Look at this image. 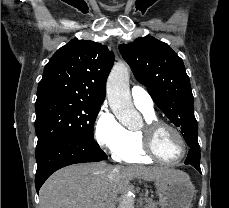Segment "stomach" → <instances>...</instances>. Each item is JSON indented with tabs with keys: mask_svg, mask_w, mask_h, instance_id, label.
I'll list each match as a JSON object with an SVG mask.
<instances>
[{
	"mask_svg": "<svg viewBox=\"0 0 229 208\" xmlns=\"http://www.w3.org/2000/svg\"><path fill=\"white\" fill-rule=\"evenodd\" d=\"M161 208H190L195 188L189 176L154 180Z\"/></svg>",
	"mask_w": 229,
	"mask_h": 208,
	"instance_id": "1",
	"label": "stomach"
}]
</instances>
